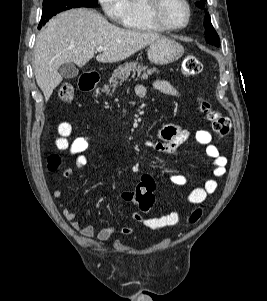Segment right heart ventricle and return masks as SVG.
<instances>
[{
    "label": "right heart ventricle",
    "instance_id": "e07e8e85",
    "mask_svg": "<svg viewBox=\"0 0 267 301\" xmlns=\"http://www.w3.org/2000/svg\"><path fill=\"white\" fill-rule=\"evenodd\" d=\"M148 4L149 0H126L124 27L140 32H164L166 29L151 18Z\"/></svg>",
    "mask_w": 267,
    "mask_h": 301
}]
</instances>
